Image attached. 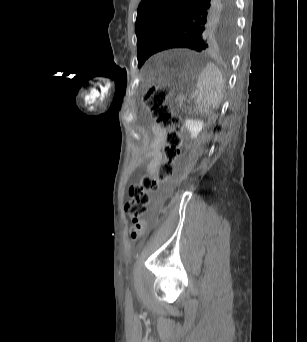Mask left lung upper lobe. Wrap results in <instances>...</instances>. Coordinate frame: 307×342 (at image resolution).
I'll use <instances>...</instances> for the list:
<instances>
[{"label":"left lung upper lobe","mask_w":307,"mask_h":342,"mask_svg":"<svg viewBox=\"0 0 307 342\" xmlns=\"http://www.w3.org/2000/svg\"><path fill=\"white\" fill-rule=\"evenodd\" d=\"M135 33L138 67L170 48L227 54L234 43L233 0H142Z\"/></svg>","instance_id":"obj_1"}]
</instances>
